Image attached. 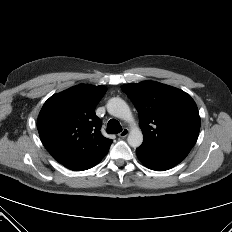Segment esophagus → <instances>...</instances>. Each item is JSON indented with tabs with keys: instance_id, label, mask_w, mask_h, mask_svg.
Here are the masks:
<instances>
[{
	"instance_id": "esophagus-1",
	"label": "esophagus",
	"mask_w": 232,
	"mask_h": 232,
	"mask_svg": "<svg viewBox=\"0 0 232 232\" xmlns=\"http://www.w3.org/2000/svg\"><path fill=\"white\" fill-rule=\"evenodd\" d=\"M128 134H129V129H128V128H124V129L118 134V136L121 137V138H125Z\"/></svg>"
}]
</instances>
